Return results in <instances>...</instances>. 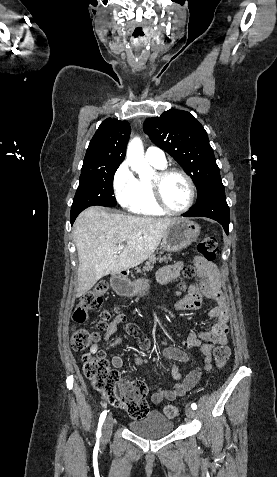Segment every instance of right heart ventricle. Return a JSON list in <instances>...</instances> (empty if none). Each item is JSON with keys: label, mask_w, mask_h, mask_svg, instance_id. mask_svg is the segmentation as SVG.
<instances>
[{"label": "right heart ventricle", "mask_w": 277, "mask_h": 477, "mask_svg": "<svg viewBox=\"0 0 277 477\" xmlns=\"http://www.w3.org/2000/svg\"><path fill=\"white\" fill-rule=\"evenodd\" d=\"M151 165L156 169L163 168L154 164ZM128 209L141 216H161L164 214L154 201L150 179H137L135 198Z\"/></svg>", "instance_id": "e07e8e85"}]
</instances>
